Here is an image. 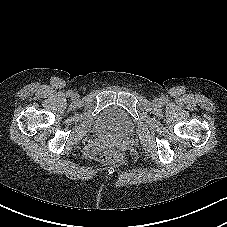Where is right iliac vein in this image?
<instances>
[{
    "instance_id": "obj_1",
    "label": "right iliac vein",
    "mask_w": 227,
    "mask_h": 227,
    "mask_svg": "<svg viewBox=\"0 0 227 227\" xmlns=\"http://www.w3.org/2000/svg\"><path fill=\"white\" fill-rule=\"evenodd\" d=\"M72 98L77 99L78 98V94L77 93L72 94Z\"/></svg>"
}]
</instances>
